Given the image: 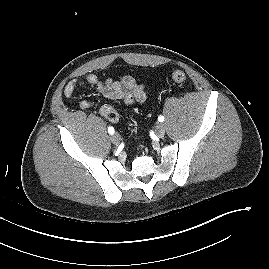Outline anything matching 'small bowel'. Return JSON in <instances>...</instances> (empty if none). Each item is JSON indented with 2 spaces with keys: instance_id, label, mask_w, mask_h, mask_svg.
<instances>
[{
  "instance_id": "1",
  "label": "small bowel",
  "mask_w": 269,
  "mask_h": 269,
  "mask_svg": "<svg viewBox=\"0 0 269 269\" xmlns=\"http://www.w3.org/2000/svg\"><path fill=\"white\" fill-rule=\"evenodd\" d=\"M81 83L89 86H96L97 91L106 100H122L129 106L142 104L148 97V91L145 84L136 81L131 76H124L119 80H107L105 82H100L97 76L94 74H88L83 79H73L67 83L64 89V94L69 100H73L75 89ZM79 106L81 109H89L92 106V103L88 100H82L79 102ZM106 107L111 106L105 104L101 107V113L105 117Z\"/></svg>"
}]
</instances>
